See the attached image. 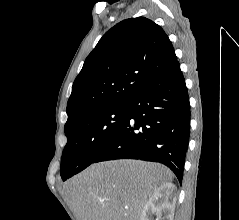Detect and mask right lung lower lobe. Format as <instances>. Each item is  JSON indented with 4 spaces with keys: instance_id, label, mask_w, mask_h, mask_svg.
<instances>
[{
    "instance_id": "obj_1",
    "label": "right lung lower lobe",
    "mask_w": 239,
    "mask_h": 220,
    "mask_svg": "<svg viewBox=\"0 0 239 220\" xmlns=\"http://www.w3.org/2000/svg\"><path fill=\"white\" fill-rule=\"evenodd\" d=\"M189 130V97L177 61L127 101L126 120L93 163L113 159L159 162L181 183Z\"/></svg>"
}]
</instances>
